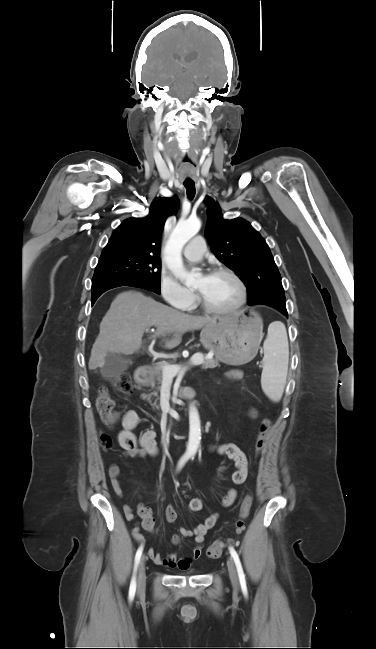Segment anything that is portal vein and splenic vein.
Returning <instances> with one entry per match:
<instances>
[{
    "mask_svg": "<svg viewBox=\"0 0 376 649\" xmlns=\"http://www.w3.org/2000/svg\"><path fill=\"white\" fill-rule=\"evenodd\" d=\"M148 331V329H147ZM208 359L212 358V355L207 356ZM204 361L203 356L200 354H195L191 358V364L198 366L201 365ZM182 371V368L179 365H165L162 367V375L166 380H172L177 374Z\"/></svg>",
    "mask_w": 376,
    "mask_h": 649,
    "instance_id": "obj_1",
    "label": "portal vein and splenic vein"
}]
</instances>
